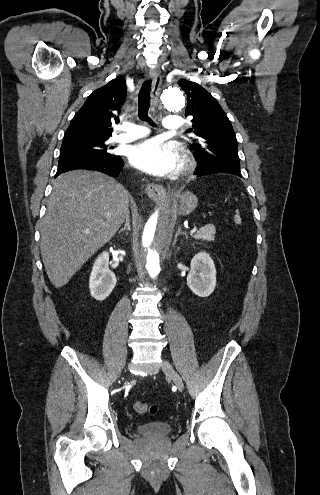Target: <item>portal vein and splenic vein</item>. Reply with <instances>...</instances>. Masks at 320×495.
I'll use <instances>...</instances> for the list:
<instances>
[{"instance_id":"1","label":"portal vein and splenic vein","mask_w":320,"mask_h":495,"mask_svg":"<svg viewBox=\"0 0 320 495\" xmlns=\"http://www.w3.org/2000/svg\"><path fill=\"white\" fill-rule=\"evenodd\" d=\"M196 231H197V228H196V227H194V228L190 231V234H193V233H195Z\"/></svg>"}]
</instances>
